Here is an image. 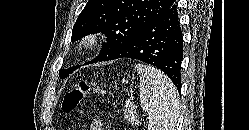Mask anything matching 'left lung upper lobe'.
<instances>
[{"label":"left lung upper lobe","instance_id":"5c2ea615","mask_svg":"<svg viewBox=\"0 0 249 130\" xmlns=\"http://www.w3.org/2000/svg\"><path fill=\"white\" fill-rule=\"evenodd\" d=\"M173 3V0H89L74 24L71 40L77 41L91 33H105L107 43L95 59L85 64L108 61L145 24L166 12ZM79 67L63 69L59 75L65 78Z\"/></svg>","mask_w":249,"mask_h":130}]
</instances>
